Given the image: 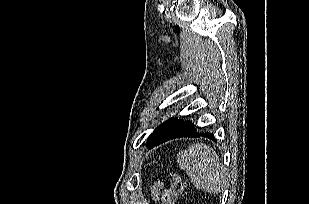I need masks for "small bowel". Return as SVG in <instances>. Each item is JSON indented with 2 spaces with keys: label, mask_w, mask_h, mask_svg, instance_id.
Wrapping results in <instances>:
<instances>
[{
  "label": "small bowel",
  "mask_w": 309,
  "mask_h": 204,
  "mask_svg": "<svg viewBox=\"0 0 309 204\" xmlns=\"http://www.w3.org/2000/svg\"><path fill=\"white\" fill-rule=\"evenodd\" d=\"M164 188V183L162 181H157L153 184L151 188V196L155 201H158L161 197V191Z\"/></svg>",
  "instance_id": "obj_1"
}]
</instances>
